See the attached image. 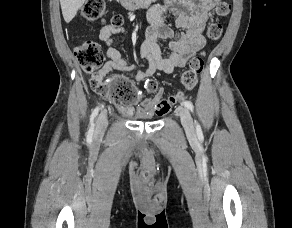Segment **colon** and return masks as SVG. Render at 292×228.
<instances>
[{"label": "colon", "mask_w": 292, "mask_h": 228, "mask_svg": "<svg viewBox=\"0 0 292 228\" xmlns=\"http://www.w3.org/2000/svg\"><path fill=\"white\" fill-rule=\"evenodd\" d=\"M231 11V4L228 0H217L215 14L218 18L226 17ZM106 13L105 0H87L81 10L82 17L87 21H97L104 17ZM110 26H121L122 18L114 14L107 22ZM207 37L216 41L222 35V25L216 21L209 25ZM75 56L82 69L92 74L90 83L95 93L112 101L115 104L129 107L138 97V92L134 89L129 80L123 76H116L111 81H105L104 76L100 73L103 65L104 56L99 44L93 40H86L75 48ZM204 61L199 56L190 59L188 68L181 76V83L187 90L193 89L198 81V76L203 71ZM155 82L150 86L155 88ZM183 98L182 94L167 97L161 100L156 108L158 115L168 113L171 108Z\"/></svg>", "instance_id": "obj_1"}]
</instances>
